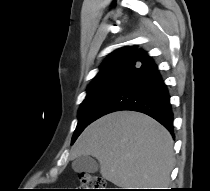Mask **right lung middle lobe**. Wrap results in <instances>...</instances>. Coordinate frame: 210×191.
I'll return each mask as SVG.
<instances>
[{"instance_id":"right-lung-middle-lobe-1","label":"right lung middle lobe","mask_w":210,"mask_h":191,"mask_svg":"<svg viewBox=\"0 0 210 191\" xmlns=\"http://www.w3.org/2000/svg\"><path fill=\"white\" fill-rule=\"evenodd\" d=\"M130 56H119L102 64L100 72L95 76L87 89V96L78 111V124L72 137V143L81 132L95 119V113L107 97L128 62Z\"/></svg>"}]
</instances>
